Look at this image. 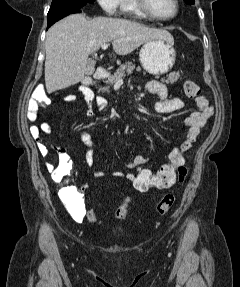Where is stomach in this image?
<instances>
[{
    "instance_id": "stomach-1",
    "label": "stomach",
    "mask_w": 240,
    "mask_h": 287,
    "mask_svg": "<svg viewBox=\"0 0 240 287\" xmlns=\"http://www.w3.org/2000/svg\"><path fill=\"white\" fill-rule=\"evenodd\" d=\"M174 40L154 39L141 47L139 60L142 67L150 74L161 75L172 69L176 60Z\"/></svg>"
}]
</instances>
